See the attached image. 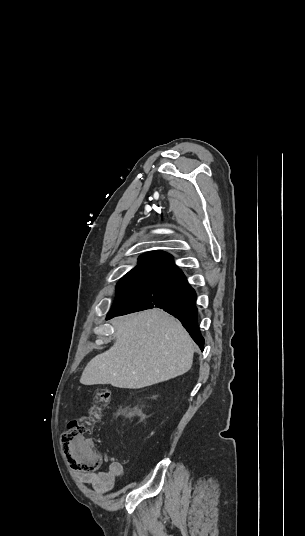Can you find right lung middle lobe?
<instances>
[{
    "label": "right lung middle lobe",
    "mask_w": 305,
    "mask_h": 536,
    "mask_svg": "<svg viewBox=\"0 0 305 536\" xmlns=\"http://www.w3.org/2000/svg\"><path fill=\"white\" fill-rule=\"evenodd\" d=\"M161 277H124L116 285V298L108 315L118 313L162 282Z\"/></svg>",
    "instance_id": "right-lung-middle-lobe-1"
}]
</instances>
